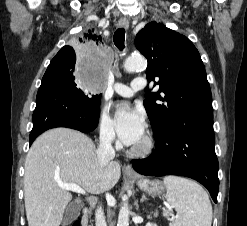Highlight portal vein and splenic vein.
Segmentation results:
<instances>
[{"instance_id": "obj_1", "label": "portal vein and splenic vein", "mask_w": 247, "mask_h": 226, "mask_svg": "<svg viewBox=\"0 0 247 226\" xmlns=\"http://www.w3.org/2000/svg\"><path fill=\"white\" fill-rule=\"evenodd\" d=\"M58 186L61 189H64V190H67V191H72V192H75V193L86 195L85 190L83 188H81L79 185L74 184V183H69V184H67V183H58Z\"/></svg>"}]
</instances>
